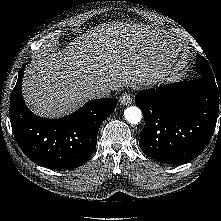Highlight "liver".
Wrapping results in <instances>:
<instances>
[{
  "label": "liver",
  "instance_id": "obj_1",
  "mask_svg": "<svg viewBox=\"0 0 221 221\" xmlns=\"http://www.w3.org/2000/svg\"><path fill=\"white\" fill-rule=\"evenodd\" d=\"M148 27L116 22L81 35L60 51L45 53L24 73L26 104L39 116L59 118L92 99L97 88L141 89L157 82L168 59L158 55Z\"/></svg>",
  "mask_w": 221,
  "mask_h": 221
}]
</instances>
